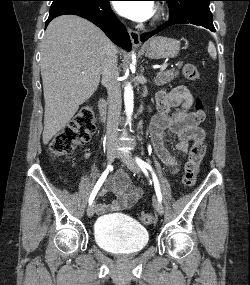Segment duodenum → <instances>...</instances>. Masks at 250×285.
<instances>
[{
	"mask_svg": "<svg viewBox=\"0 0 250 285\" xmlns=\"http://www.w3.org/2000/svg\"><path fill=\"white\" fill-rule=\"evenodd\" d=\"M106 101L104 99H101L99 102V111H100V115L102 120H104L106 118Z\"/></svg>",
	"mask_w": 250,
	"mask_h": 285,
	"instance_id": "obj_1",
	"label": "duodenum"
}]
</instances>
